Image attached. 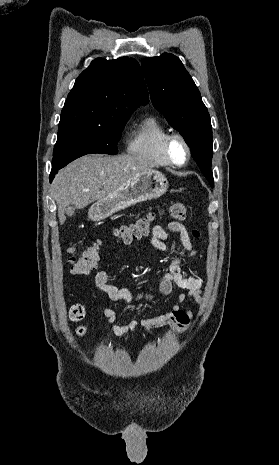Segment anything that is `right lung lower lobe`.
Returning <instances> with one entry per match:
<instances>
[{
	"mask_svg": "<svg viewBox=\"0 0 279 465\" xmlns=\"http://www.w3.org/2000/svg\"><path fill=\"white\" fill-rule=\"evenodd\" d=\"M59 169L61 168L52 167L51 174H50V182L53 180L55 174L58 172Z\"/></svg>",
	"mask_w": 279,
	"mask_h": 465,
	"instance_id": "1",
	"label": "right lung lower lobe"
}]
</instances>
